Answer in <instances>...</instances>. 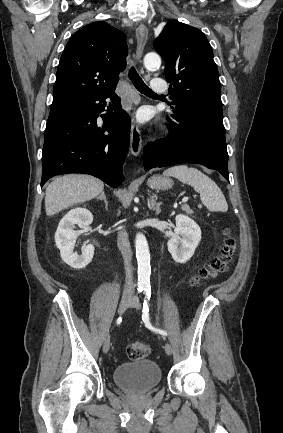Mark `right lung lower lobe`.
<instances>
[{"label": "right lung lower lobe", "instance_id": "obj_1", "mask_svg": "<svg viewBox=\"0 0 283 433\" xmlns=\"http://www.w3.org/2000/svg\"><path fill=\"white\" fill-rule=\"evenodd\" d=\"M106 98L112 100L108 113ZM115 90L76 104L53 108L47 121L42 153L41 187L64 173H86L112 187L123 181L122 165L130 143V119ZM111 105V104H110Z\"/></svg>", "mask_w": 283, "mask_h": 433}]
</instances>
